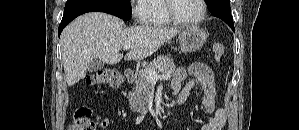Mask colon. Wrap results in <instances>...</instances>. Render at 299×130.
<instances>
[{
  "mask_svg": "<svg viewBox=\"0 0 299 130\" xmlns=\"http://www.w3.org/2000/svg\"><path fill=\"white\" fill-rule=\"evenodd\" d=\"M214 58L220 61L225 54V47L220 43L212 45ZM123 83L122 74L113 69H105L90 75L87 78L89 86H110L118 88ZM92 111L88 107L78 108L74 113V120L69 130H96L97 125L91 118Z\"/></svg>",
  "mask_w": 299,
  "mask_h": 130,
  "instance_id": "1",
  "label": "colon"
}]
</instances>
